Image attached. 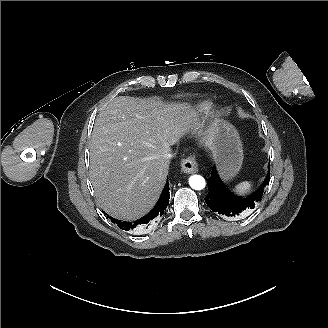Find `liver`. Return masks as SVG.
Here are the masks:
<instances>
[{"instance_id":"6515ba94","label":"liver","mask_w":328,"mask_h":328,"mask_svg":"<svg viewBox=\"0 0 328 328\" xmlns=\"http://www.w3.org/2000/svg\"><path fill=\"white\" fill-rule=\"evenodd\" d=\"M190 103L157 97L114 98L95 119L90 142V179L97 204L114 218L146 215L165 186L171 146L204 127Z\"/></svg>"}]
</instances>
